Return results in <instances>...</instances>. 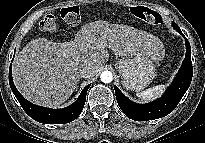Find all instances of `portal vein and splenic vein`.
Masks as SVG:
<instances>
[{
	"mask_svg": "<svg viewBox=\"0 0 205 143\" xmlns=\"http://www.w3.org/2000/svg\"><path fill=\"white\" fill-rule=\"evenodd\" d=\"M96 46H97V47H100V48H104V47H106V45L103 44V43H97Z\"/></svg>",
	"mask_w": 205,
	"mask_h": 143,
	"instance_id": "obj_1",
	"label": "portal vein and splenic vein"
}]
</instances>
